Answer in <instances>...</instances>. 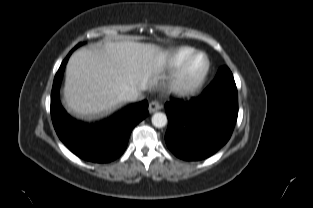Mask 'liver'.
I'll use <instances>...</instances> for the list:
<instances>
[{
  "label": "liver",
  "mask_w": 313,
  "mask_h": 208,
  "mask_svg": "<svg viewBox=\"0 0 313 208\" xmlns=\"http://www.w3.org/2000/svg\"><path fill=\"white\" fill-rule=\"evenodd\" d=\"M166 59L160 47L129 40L78 50L66 67L64 101L82 117L108 114L121 104L120 94L127 88L141 92L153 85Z\"/></svg>",
  "instance_id": "liver-1"
}]
</instances>
